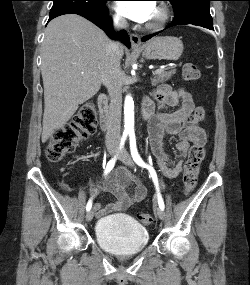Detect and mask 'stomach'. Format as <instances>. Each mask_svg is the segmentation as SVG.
Masks as SVG:
<instances>
[{"instance_id":"1","label":"stomach","mask_w":250,"mask_h":285,"mask_svg":"<svg viewBox=\"0 0 250 285\" xmlns=\"http://www.w3.org/2000/svg\"><path fill=\"white\" fill-rule=\"evenodd\" d=\"M136 51L148 60H178L183 52V43L173 36L155 37Z\"/></svg>"}]
</instances>
